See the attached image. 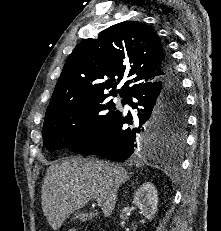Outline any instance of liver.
Returning <instances> with one entry per match:
<instances>
[{
	"label": "liver",
	"mask_w": 221,
	"mask_h": 231,
	"mask_svg": "<svg viewBox=\"0 0 221 231\" xmlns=\"http://www.w3.org/2000/svg\"><path fill=\"white\" fill-rule=\"evenodd\" d=\"M127 170L117 164L81 157L52 164L42 185V210L49 225L57 230L65 219L91 199H102V212L115 209L119 187L129 180Z\"/></svg>",
	"instance_id": "liver-1"
}]
</instances>
